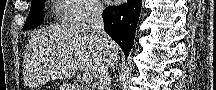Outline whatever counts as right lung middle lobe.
I'll return each mask as SVG.
<instances>
[{"instance_id": "obj_1", "label": "right lung middle lobe", "mask_w": 216, "mask_h": 90, "mask_svg": "<svg viewBox=\"0 0 216 90\" xmlns=\"http://www.w3.org/2000/svg\"><path fill=\"white\" fill-rule=\"evenodd\" d=\"M45 6V0H32L31 9L24 25V30H30L38 27L44 19L42 13Z\"/></svg>"}]
</instances>
